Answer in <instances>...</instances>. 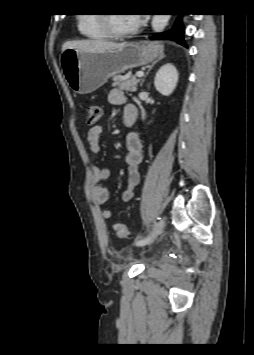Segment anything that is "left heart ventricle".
Instances as JSON below:
<instances>
[{"label": "left heart ventricle", "mask_w": 254, "mask_h": 355, "mask_svg": "<svg viewBox=\"0 0 254 355\" xmlns=\"http://www.w3.org/2000/svg\"><path fill=\"white\" fill-rule=\"evenodd\" d=\"M111 25L115 31H126L136 27L132 16L122 13L111 15Z\"/></svg>", "instance_id": "obj_1"}]
</instances>
